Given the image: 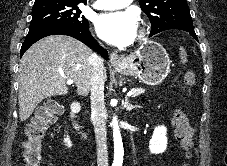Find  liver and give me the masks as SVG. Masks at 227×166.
Here are the masks:
<instances>
[{"label":"liver","instance_id":"6515ba94","mask_svg":"<svg viewBox=\"0 0 227 166\" xmlns=\"http://www.w3.org/2000/svg\"><path fill=\"white\" fill-rule=\"evenodd\" d=\"M93 55L86 45L65 35L48 36L32 45L19 66L20 120L26 121L44 99L67 94L68 79L79 95L86 96L91 90Z\"/></svg>","mask_w":227,"mask_h":166}]
</instances>
